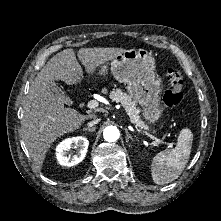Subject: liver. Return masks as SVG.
<instances>
[{
    "label": "liver",
    "mask_w": 221,
    "mask_h": 221,
    "mask_svg": "<svg viewBox=\"0 0 221 221\" xmlns=\"http://www.w3.org/2000/svg\"><path fill=\"white\" fill-rule=\"evenodd\" d=\"M124 51L123 48H81L77 56L86 72L93 75L97 67ZM82 79L83 69L74 50L68 48L54 55L30 85L21 126L25 145L38 170L42 168L46 153L57 138L73 132L85 120L95 117V114L83 115L73 108H66L50 88L55 80L73 85Z\"/></svg>",
    "instance_id": "obj_1"
}]
</instances>
